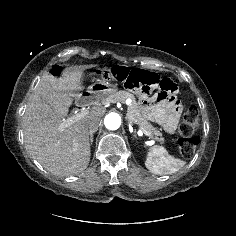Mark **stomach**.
Wrapping results in <instances>:
<instances>
[{
    "instance_id": "1",
    "label": "stomach",
    "mask_w": 236,
    "mask_h": 236,
    "mask_svg": "<svg viewBox=\"0 0 236 236\" xmlns=\"http://www.w3.org/2000/svg\"><path fill=\"white\" fill-rule=\"evenodd\" d=\"M117 90L118 88L116 84L99 81L92 84L87 92L89 95L102 99L116 93Z\"/></svg>"
}]
</instances>
